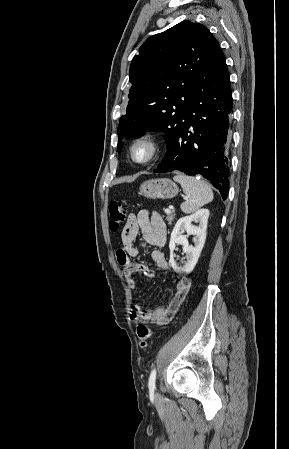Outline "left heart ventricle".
<instances>
[{"label": "left heart ventricle", "instance_id": "b2bd125f", "mask_svg": "<svg viewBox=\"0 0 289 449\" xmlns=\"http://www.w3.org/2000/svg\"><path fill=\"white\" fill-rule=\"evenodd\" d=\"M149 150L147 146L140 145L135 149V157L139 160H143L147 157Z\"/></svg>", "mask_w": 289, "mask_h": 449}]
</instances>
